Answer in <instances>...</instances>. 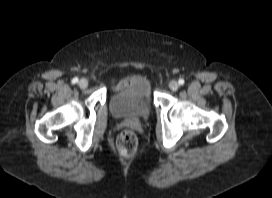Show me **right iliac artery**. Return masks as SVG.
<instances>
[{
    "label": "right iliac artery",
    "mask_w": 272,
    "mask_h": 198,
    "mask_svg": "<svg viewBox=\"0 0 272 198\" xmlns=\"http://www.w3.org/2000/svg\"><path fill=\"white\" fill-rule=\"evenodd\" d=\"M78 82V78L77 77H75V78H73V80H72V83H77Z\"/></svg>",
    "instance_id": "1"
}]
</instances>
